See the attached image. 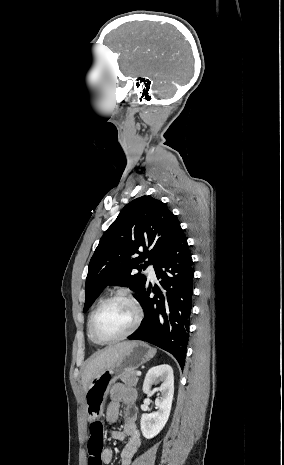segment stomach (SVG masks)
Segmentation results:
<instances>
[{
    "mask_svg": "<svg viewBox=\"0 0 284 465\" xmlns=\"http://www.w3.org/2000/svg\"><path fill=\"white\" fill-rule=\"evenodd\" d=\"M154 349H151L142 341H132L128 351L122 355L120 361L114 367L105 369L96 375L89 383L85 393L86 415L89 423L97 421L103 415L106 399L109 395L111 385L122 373H129L153 359Z\"/></svg>",
    "mask_w": 284,
    "mask_h": 465,
    "instance_id": "0dacf381",
    "label": "stomach"
}]
</instances>
